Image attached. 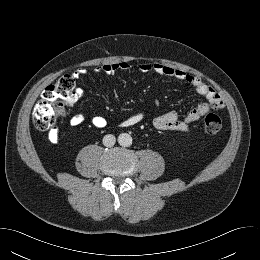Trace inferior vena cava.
<instances>
[{
  "label": "inferior vena cava",
  "instance_id": "inferior-vena-cava-1",
  "mask_svg": "<svg viewBox=\"0 0 260 260\" xmlns=\"http://www.w3.org/2000/svg\"><path fill=\"white\" fill-rule=\"evenodd\" d=\"M116 142V138L112 134H107L103 137V145L106 147H112Z\"/></svg>",
  "mask_w": 260,
  "mask_h": 260
}]
</instances>
